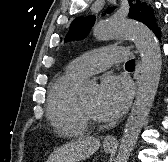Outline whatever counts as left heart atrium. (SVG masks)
Instances as JSON below:
<instances>
[{
  "instance_id": "left-heart-atrium-1",
  "label": "left heart atrium",
  "mask_w": 168,
  "mask_h": 162,
  "mask_svg": "<svg viewBox=\"0 0 168 162\" xmlns=\"http://www.w3.org/2000/svg\"><path fill=\"white\" fill-rule=\"evenodd\" d=\"M131 96L132 87L126 78L104 77L97 96L96 113L98 118L102 120L118 118L128 107Z\"/></svg>"
}]
</instances>
